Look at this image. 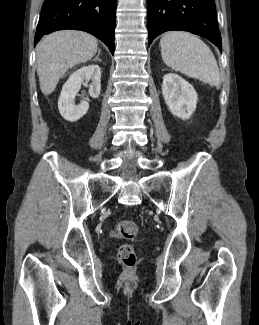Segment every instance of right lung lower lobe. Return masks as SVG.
Masks as SVG:
<instances>
[{
  "label": "right lung lower lobe",
  "mask_w": 259,
  "mask_h": 325,
  "mask_svg": "<svg viewBox=\"0 0 259 325\" xmlns=\"http://www.w3.org/2000/svg\"><path fill=\"white\" fill-rule=\"evenodd\" d=\"M117 0H45L34 45L43 35L62 29L93 34L114 53Z\"/></svg>",
  "instance_id": "1"
}]
</instances>
